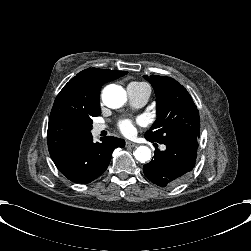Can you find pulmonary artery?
I'll return each instance as SVG.
<instances>
[{
	"label": "pulmonary artery",
	"mask_w": 251,
	"mask_h": 251,
	"mask_svg": "<svg viewBox=\"0 0 251 251\" xmlns=\"http://www.w3.org/2000/svg\"><path fill=\"white\" fill-rule=\"evenodd\" d=\"M127 90H128L130 102L135 107L143 106L147 102V100L152 92L150 85L147 86L148 95H146L145 93H139L136 90V88L133 86H128ZM105 128H106V126L102 125V124L94 125L93 134H99ZM162 149H164V146H162Z\"/></svg>",
	"instance_id": "pulmonary-artery-1"
}]
</instances>
